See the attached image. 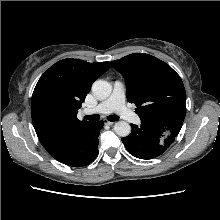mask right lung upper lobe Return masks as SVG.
I'll return each instance as SVG.
<instances>
[{
    "instance_id": "right-lung-upper-lobe-1",
    "label": "right lung upper lobe",
    "mask_w": 220,
    "mask_h": 220,
    "mask_svg": "<svg viewBox=\"0 0 220 220\" xmlns=\"http://www.w3.org/2000/svg\"><path fill=\"white\" fill-rule=\"evenodd\" d=\"M109 67L110 62L89 63L67 58L52 65L40 77L32 95L31 116L40 143L52 157L92 124L77 119L78 109L93 82Z\"/></svg>"
}]
</instances>
